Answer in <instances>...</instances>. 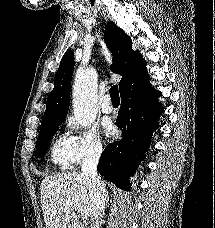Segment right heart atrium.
<instances>
[{
	"instance_id": "1",
	"label": "right heart atrium",
	"mask_w": 215,
	"mask_h": 228,
	"mask_svg": "<svg viewBox=\"0 0 215 228\" xmlns=\"http://www.w3.org/2000/svg\"><path fill=\"white\" fill-rule=\"evenodd\" d=\"M67 126L76 133L74 137L76 164L96 161L101 158L104 144L101 134L95 127H80L72 119L67 122Z\"/></svg>"
}]
</instances>
